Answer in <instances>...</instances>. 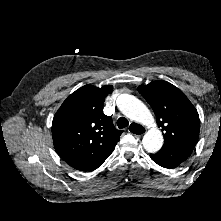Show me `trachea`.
I'll list each match as a JSON object with an SVG mask.
<instances>
[{
	"mask_svg": "<svg viewBox=\"0 0 221 221\" xmlns=\"http://www.w3.org/2000/svg\"><path fill=\"white\" fill-rule=\"evenodd\" d=\"M128 124H129V122L125 117H120L117 121V126L120 129L127 127Z\"/></svg>",
	"mask_w": 221,
	"mask_h": 221,
	"instance_id": "obj_1",
	"label": "trachea"
}]
</instances>
